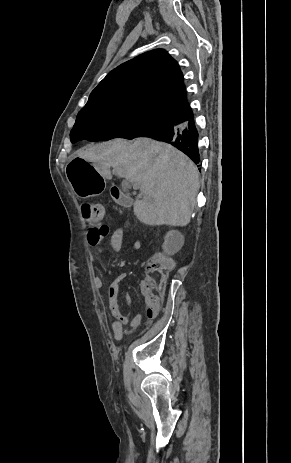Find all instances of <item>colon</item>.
I'll list each match as a JSON object with an SVG mask.
<instances>
[{"mask_svg":"<svg viewBox=\"0 0 291 463\" xmlns=\"http://www.w3.org/2000/svg\"><path fill=\"white\" fill-rule=\"evenodd\" d=\"M82 212L90 229L103 227L106 211L103 205L87 201L82 205ZM173 263L160 253L154 254L146 262V274L143 280V291L146 297V313L150 317L157 315L166 283L167 273Z\"/></svg>","mask_w":291,"mask_h":463,"instance_id":"obj_1","label":"colon"}]
</instances>
